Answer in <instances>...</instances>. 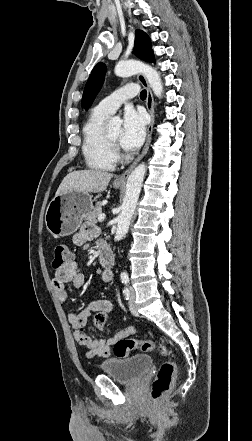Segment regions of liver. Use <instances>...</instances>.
Returning <instances> with one entry per match:
<instances>
[{"instance_id": "6515ba94", "label": "liver", "mask_w": 252, "mask_h": 441, "mask_svg": "<svg viewBox=\"0 0 252 441\" xmlns=\"http://www.w3.org/2000/svg\"><path fill=\"white\" fill-rule=\"evenodd\" d=\"M112 177V173L101 170L73 171L62 180L56 195L71 191L84 193L103 192Z\"/></svg>"}]
</instances>
